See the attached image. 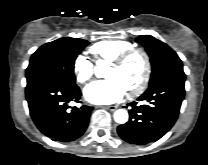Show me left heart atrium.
Returning a JSON list of instances; mask_svg holds the SVG:
<instances>
[{
    "label": "left heart atrium",
    "mask_w": 208,
    "mask_h": 165,
    "mask_svg": "<svg viewBox=\"0 0 208 165\" xmlns=\"http://www.w3.org/2000/svg\"><path fill=\"white\" fill-rule=\"evenodd\" d=\"M126 93V89L116 78L95 81L86 87L84 95L93 104H111L119 101Z\"/></svg>",
    "instance_id": "39dd6f15"
}]
</instances>
